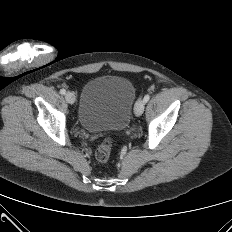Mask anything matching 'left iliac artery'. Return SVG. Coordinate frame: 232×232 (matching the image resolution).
Returning <instances> with one entry per match:
<instances>
[{"label": "left iliac artery", "instance_id": "obj_1", "mask_svg": "<svg viewBox=\"0 0 232 232\" xmlns=\"http://www.w3.org/2000/svg\"><path fill=\"white\" fill-rule=\"evenodd\" d=\"M149 99H150V95L147 94V95L144 96L143 100H144L145 103H147L149 101Z\"/></svg>", "mask_w": 232, "mask_h": 232}]
</instances>
